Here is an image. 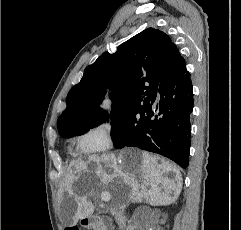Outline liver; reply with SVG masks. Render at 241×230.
I'll list each match as a JSON object with an SVG mask.
<instances>
[{"label": "liver", "mask_w": 241, "mask_h": 230, "mask_svg": "<svg viewBox=\"0 0 241 230\" xmlns=\"http://www.w3.org/2000/svg\"><path fill=\"white\" fill-rule=\"evenodd\" d=\"M72 166L74 168L68 170L62 191L68 192L77 203L73 225L94 212V205L88 197L96 195L101 186L111 185L113 193L110 197L119 207H122L125 197L123 194L118 196L117 189L123 184L131 188L127 197L133 199V202L144 200L152 206L175 203L182 190V175L175 164L136 149H125L119 154L91 155L88 161H75ZM165 173H173V177H165ZM90 175L99 180L96 182V191L84 197L77 196L73 184H81V180L83 184L84 178ZM104 192L109 194L106 190L102 194Z\"/></svg>", "instance_id": "1"}]
</instances>
